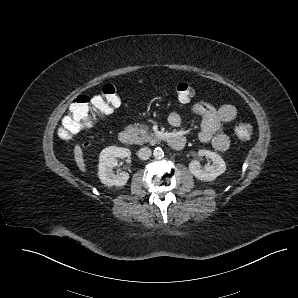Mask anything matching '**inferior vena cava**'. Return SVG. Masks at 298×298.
<instances>
[{
  "instance_id": "inferior-vena-cava-1",
  "label": "inferior vena cava",
  "mask_w": 298,
  "mask_h": 298,
  "mask_svg": "<svg viewBox=\"0 0 298 298\" xmlns=\"http://www.w3.org/2000/svg\"><path fill=\"white\" fill-rule=\"evenodd\" d=\"M152 151L149 147H142L138 151V157L142 160H147L151 157Z\"/></svg>"
}]
</instances>
